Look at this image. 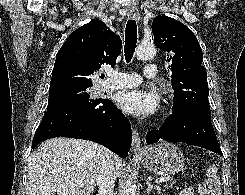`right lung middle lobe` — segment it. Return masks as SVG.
<instances>
[{
	"mask_svg": "<svg viewBox=\"0 0 245 195\" xmlns=\"http://www.w3.org/2000/svg\"><path fill=\"white\" fill-rule=\"evenodd\" d=\"M88 88L89 87L70 88L49 94L47 111L69 104L93 101L94 99H91L90 95L87 93Z\"/></svg>",
	"mask_w": 245,
	"mask_h": 195,
	"instance_id": "obj_1",
	"label": "right lung middle lobe"
}]
</instances>
